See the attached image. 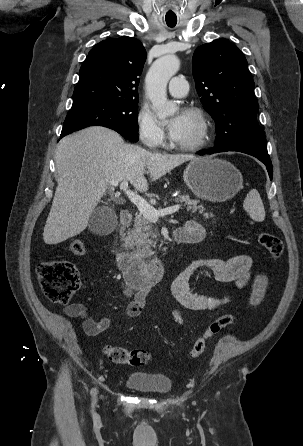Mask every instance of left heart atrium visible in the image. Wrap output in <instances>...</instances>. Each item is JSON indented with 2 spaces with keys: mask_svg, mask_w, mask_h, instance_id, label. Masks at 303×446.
I'll list each match as a JSON object with an SVG mask.
<instances>
[{
  "mask_svg": "<svg viewBox=\"0 0 303 446\" xmlns=\"http://www.w3.org/2000/svg\"><path fill=\"white\" fill-rule=\"evenodd\" d=\"M184 124L183 114L175 116L168 125V132L172 139L176 140L181 135Z\"/></svg>",
  "mask_w": 303,
  "mask_h": 446,
  "instance_id": "39dd6f15",
  "label": "left heart atrium"
}]
</instances>
